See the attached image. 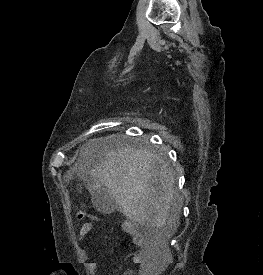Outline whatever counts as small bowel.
<instances>
[{"mask_svg": "<svg viewBox=\"0 0 263 275\" xmlns=\"http://www.w3.org/2000/svg\"><path fill=\"white\" fill-rule=\"evenodd\" d=\"M92 229V225L90 223H86L84 224L78 234V241L82 242L85 237L87 236V234L91 231ZM132 236H133V241L135 243V245L138 248V251L134 254L133 256V262L138 265V270L135 273L136 275H151V265L149 262V250L147 245L145 244L143 237L141 236L140 233H138L137 231L131 229L130 230ZM97 263L96 262H87L86 263V268L87 271L90 274H95L97 271ZM128 275L134 274L133 270H129L127 272Z\"/></svg>", "mask_w": 263, "mask_h": 275, "instance_id": "c3829d8e", "label": "small bowel"}]
</instances>
